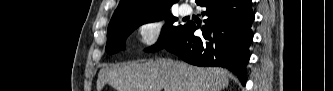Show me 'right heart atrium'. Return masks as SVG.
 Segmentation results:
<instances>
[{
    "label": "right heart atrium",
    "mask_w": 333,
    "mask_h": 91,
    "mask_svg": "<svg viewBox=\"0 0 333 91\" xmlns=\"http://www.w3.org/2000/svg\"><path fill=\"white\" fill-rule=\"evenodd\" d=\"M140 45L147 50H156L165 39V27L158 19H148L136 26Z\"/></svg>",
    "instance_id": "1"
}]
</instances>
